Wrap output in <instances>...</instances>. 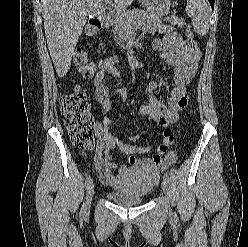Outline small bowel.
<instances>
[{
    "label": "small bowel",
    "instance_id": "obj_1",
    "mask_svg": "<svg viewBox=\"0 0 248 247\" xmlns=\"http://www.w3.org/2000/svg\"><path fill=\"white\" fill-rule=\"evenodd\" d=\"M164 35L153 41L152 46L157 50L162 60L173 66V83L166 102H162L156 95V81L147 84L149 93V105L141 107L139 113L148 115L149 119L155 121L163 128L162 142L157 147V152L147 158H137L136 154L149 152L155 143L147 146L136 145L138 136L134 135L127 140H121L111 134L108 126L111 119L105 117L102 122L95 125L97 143L95 148L94 163L106 184L115 185L116 176L114 171L122 173L127 167L117 165L113 161L112 150L118 148L122 153L129 156L132 166L154 168L157 166L167 167L176 159L175 154L169 152V147L174 142V135L169 124L178 118V112L184 109L189 102L188 86L191 84L198 67L200 50L193 40L181 37L177 32L163 26ZM118 57L113 55L99 62V71L94 77V96L106 109L110 103L109 89L105 84V74H117L116 64Z\"/></svg>",
    "mask_w": 248,
    "mask_h": 247
}]
</instances>
